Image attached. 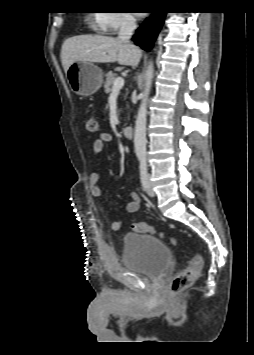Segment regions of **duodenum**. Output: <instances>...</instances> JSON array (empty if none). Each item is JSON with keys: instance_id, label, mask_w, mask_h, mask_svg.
<instances>
[{"instance_id": "1", "label": "duodenum", "mask_w": 254, "mask_h": 355, "mask_svg": "<svg viewBox=\"0 0 254 355\" xmlns=\"http://www.w3.org/2000/svg\"><path fill=\"white\" fill-rule=\"evenodd\" d=\"M123 134L127 138H131L134 134V128L132 125H126L123 127Z\"/></svg>"}]
</instances>
